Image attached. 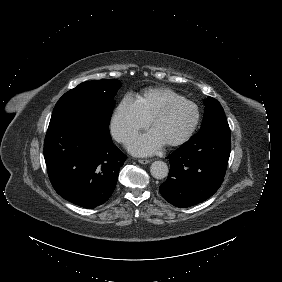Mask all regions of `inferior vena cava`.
I'll list each match as a JSON object with an SVG mask.
<instances>
[{
  "instance_id": "inferior-vena-cava-1",
  "label": "inferior vena cava",
  "mask_w": 282,
  "mask_h": 282,
  "mask_svg": "<svg viewBox=\"0 0 282 282\" xmlns=\"http://www.w3.org/2000/svg\"><path fill=\"white\" fill-rule=\"evenodd\" d=\"M112 136L118 143H126L129 135L126 132H120L118 130H112Z\"/></svg>"
}]
</instances>
